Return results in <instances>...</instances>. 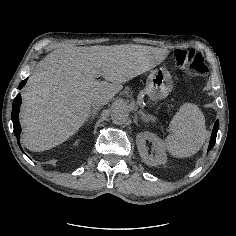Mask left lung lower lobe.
Here are the masks:
<instances>
[{"mask_svg":"<svg viewBox=\"0 0 236 236\" xmlns=\"http://www.w3.org/2000/svg\"><path fill=\"white\" fill-rule=\"evenodd\" d=\"M218 129H219V121L217 120V121L215 122L213 131H212V134H211V139H210V143H209L208 150H210L211 148H213V146L215 145Z\"/></svg>","mask_w":236,"mask_h":236,"instance_id":"1","label":"left lung lower lobe"}]
</instances>
